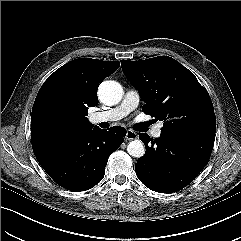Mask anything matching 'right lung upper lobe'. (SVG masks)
Masks as SVG:
<instances>
[{
  "mask_svg": "<svg viewBox=\"0 0 241 241\" xmlns=\"http://www.w3.org/2000/svg\"><path fill=\"white\" fill-rule=\"evenodd\" d=\"M119 61L75 59L60 67L44 82L31 116L32 146L49 143L88 130V108L97 105L96 89L114 73ZM59 115V119L55 116Z\"/></svg>",
  "mask_w": 241,
  "mask_h": 241,
  "instance_id": "right-lung-upper-lobe-1",
  "label": "right lung upper lobe"
}]
</instances>
